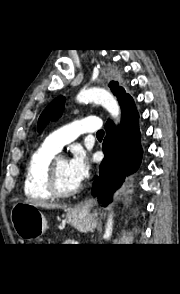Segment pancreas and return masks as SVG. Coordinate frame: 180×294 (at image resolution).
<instances>
[{
	"label": "pancreas",
	"instance_id": "cf45deb5",
	"mask_svg": "<svg viewBox=\"0 0 180 294\" xmlns=\"http://www.w3.org/2000/svg\"><path fill=\"white\" fill-rule=\"evenodd\" d=\"M65 244H70V242H66Z\"/></svg>",
	"mask_w": 180,
	"mask_h": 294
}]
</instances>
